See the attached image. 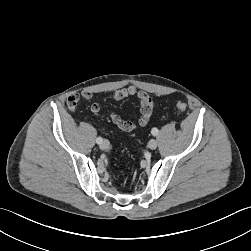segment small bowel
I'll return each instance as SVG.
<instances>
[{
    "label": "small bowel",
    "mask_w": 251,
    "mask_h": 251,
    "mask_svg": "<svg viewBox=\"0 0 251 251\" xmlns=\"http://www.w3.org/2000/svg\"><path fill=\"white\" fill-rule=\"evenodd\" d=\"M129 96H136L140 101L139 113L135 120H124L120 115L111 111L109 113L111 121L122 131L131 132L138 128L144 127L148 124L149 119L154 110V99L146 91L139 89L136 86H128L126 88L117 89L113 91L112 97L116 101H120ZM92 97L90 92H82L68 97L67 105L70 110L74 111L80 100H89ZM102 109V105L99 102H94L91 105V112L98 114Z\"/></svg>",
    "instance_id": "obj_1"
}]
</instances>
